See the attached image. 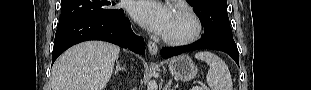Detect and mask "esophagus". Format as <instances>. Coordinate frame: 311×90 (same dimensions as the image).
<instances>
[{
	"mask_svg": "<svg viewBox=\"0 0 311 90\" xmlns=\"http://www.w3.org/2000/svg\"><path fill=\"white\" fill-rule=\"evenodd\" d=\"M147 46H148L149 53H150L151 55H156V54H157V52H158V46H157V44H156L155 42H153V41H148Z\"/></svg>",
	"mask_w": 311,
	"mask_h": 90,
	"instance_id": "esophagus-1",
	"label": "esophagus"
}]
</instances>
